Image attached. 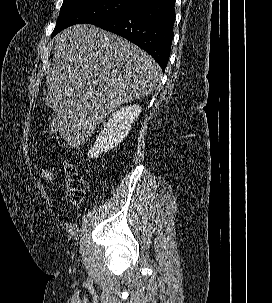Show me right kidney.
Masks as SVG:
<instances>
[{"mask_svg":"<svg viewBox=\"0 0 272 303\" xmlns=\"http://www.w3.org/2000/svg\"><path fill=\"white\" fill-rule=\"evenodd\" d=\"M141 109L140 105L134 104L116 111L104 125L94 146L89 150L88 156L97 158L102 153L118 146L128 135L133 123L139 117Z\"/></svg>","mask_w":272,"mask_h":303,"instance_id":"ca27d5eb","label":"right kidney"}]
</instances>
